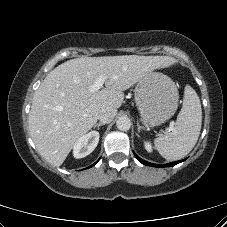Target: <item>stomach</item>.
<instances>
[{"mask_svg":"<svg viewBox=\"0 0 227 227\" xmlns=\"http://www.w3.org/2000/svg\"><path fill=\"white\" fill-rule=\"evenodd\" d=\"M179 93L167 75L152 71L135 87V103L145 126L155 127L169 120L176 112Z\"/></svg>","mask_w":227,"mask_h":227,"instance_id":"0dacf381","label":"stomach"}]
</instances>
